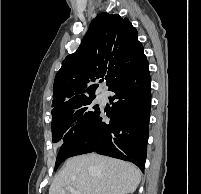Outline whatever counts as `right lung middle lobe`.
Instances as JSON below:
<instances>
[{
  "instance_id": "obj_1",
  "label": "right lung middle lobe",
  "mask_w": 201,
  "mask_h": 194,
  "mask_svg": "<svg viewBox=\"0 0 201 194\" xmlns=\"http://www.w3.org/2000/svg\"><path fill=\"white\" fill-rule=\"evenodd\" d=\"M94 98L95 97H91L81 101L65 115L52 120L54 143L60 140L66 141L96 118L100 113V108L92 104ZM65 159L63 155L58 153L55 170Z\"/></svg>"
}]
</instances>
